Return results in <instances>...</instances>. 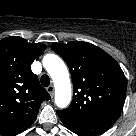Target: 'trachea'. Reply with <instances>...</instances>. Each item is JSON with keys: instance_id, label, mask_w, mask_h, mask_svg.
<instances>
[{"instance_id": "trachea-1", "label": "trachea", "mask_w": 136, "mask_h": 136, "mask_svg": "<svg viewBox=\"0 0 136 136\" xmlns=\"http://www.w3.org/2000/svg\"><path fill=\"white\" fill-rule=\"evenodd\" d=\"M40 81H41V84L44 86V87H47L49 86L50 84V78L48 75H42L41 78H40Z\"/></svg>"}]
</instances>
